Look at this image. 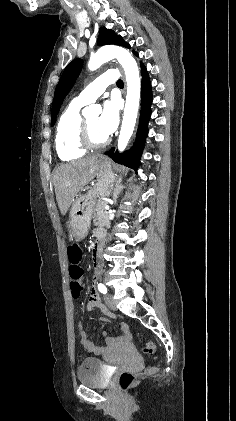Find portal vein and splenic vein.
Segmentation results:
<instances>
[{"label":"portal vein and splenic vein","instance_id":"18ae733b","mask_svg":"<svg viewBox=\"0 0 236 421\" xmlns=\"http://www.w3.org/2000/svg\"><path fill=\"white\" fill-rule=\"evenodd\" d=\"M105 208H106L107 210H110V205H109V204H106V205H105Z\"/></svg>","mask_w":236,"mask_h":421}]
</instances>
